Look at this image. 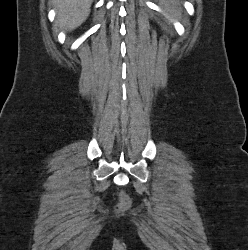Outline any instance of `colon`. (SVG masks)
<instances>
[{
    "label": "colon",
    "instance_id": "obj_1",
    "mask_svg": "<svg viewBox=\"0 0 248 250\" xmlns=\"http://www.w3.org/2000/svg\"><path fill=\"white\" fill-rule=\"evenodd\" d=\"M130 204V200L128 198V196L125 193H120L119 194V204L117 206V210L119 212H123L125 211Z\"/></svg>",
    "mask_w": 248,
    "mask_h": 250
}]
</instances>
